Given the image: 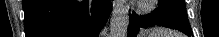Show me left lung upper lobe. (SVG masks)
<instances>
[{"label": "left lung upper lobe", "instance_id": "obj_1", "mask_svg": "<svg viewBox=\"0 0 219 37\" xmlns=\"http://www.w3.org/2000/svg\"><path fill=\"white\" fill-rule=\"evenodd\" d=\"M159 10L175 17L187 27H190L185 0H159Z\"/></svg>", "mask_w": 219, "mask_h": 37}]
</instances>
